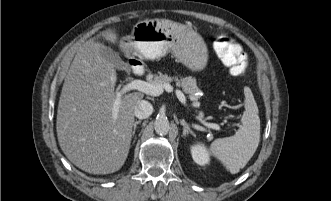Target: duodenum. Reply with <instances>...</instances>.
<instances>
[{"mask_svg":"<svg viewBox=\"0 0 331 201\" xmlns=\"http://www.w3.org/2000/svg\"><path fill=\"white\" fill-rule=\"evenodd\" d=\"M132 68H133V72L136 75H142L144 73V65L141 61L137 60V59H133L130 60Z\"/></svg>","mask_w":331,"mask_h":201,"instance_id":"410a0bca","label":"duodenum"}]
</instances>
